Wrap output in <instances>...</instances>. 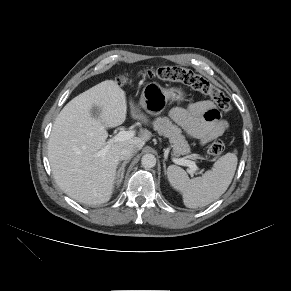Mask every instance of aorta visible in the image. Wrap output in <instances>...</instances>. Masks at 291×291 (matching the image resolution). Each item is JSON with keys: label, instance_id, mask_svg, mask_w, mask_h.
I'll return each instance as SVG.
<instances>
[{"label": "aorta", "instance_id": "1", "mask_svg": "<svg viewBox=\"0 0 291 291\" xmlns=\"http://www.w3.org/2000/svg\"><path fill=\"white\" fill-rule=\"evenodd\" d=\"M141 164L144 168H152L156 165V158L153 154H145L142 156Z\"/></svg>", "mask_w": 291, "mask_h": 291}]
</instances>
